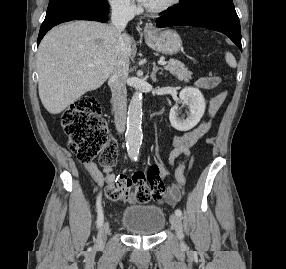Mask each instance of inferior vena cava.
I'll return each instance as SVG.
<instances>
[{"label":"inferior vena cava","mask_w":286,"mask_h":269,"mask_svg":"<svg viewBox=\"0 0 286 269\" xmlns=\"http://www.w3.org/2000/svg\"><path fill=\"white\" fill-rule=\"evenodd\" d=\"M134 8L128 1L112 5L111 21L118 35L117 60L113 73L109 79L114 107V122L118 133L125 131L127 111L126 79L129 71V58L127 56L126 38L122 34L127 23L134 18Z\"/></svg>","instance_id":"inferior-vena-cava-1"}]
</instances>
